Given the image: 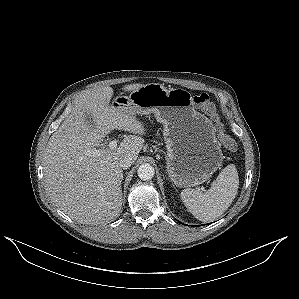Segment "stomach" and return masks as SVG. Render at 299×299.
I'll use <instances>...</instances> for the list:
<instances>
[{"label": "stomach", "instance_id": "stomach-1", "mask_svg": "<svg viewBox=\"0 0 299 299\" xmlns=\"http://www.w3.org/2000/svg\"><path fill=\"white\" fill-rule=\"evenodd\" d=\"M113 104L139 115L154 113L163 124L166 169L177 187L202 184L222 165L223 154L214 126L195 110L193 96L187 90H167L161 84L150 83L129 96L116 97Z\"/></svg>", "mask_w": 299, "mask_h": 299}]
</instances>
